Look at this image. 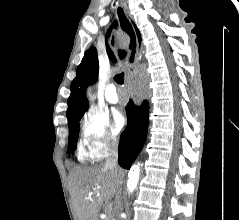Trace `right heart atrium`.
<instances>
[{
    "label": "right heart atrium",
    "instance_id": "d8ad5b80",
    "mask_svg": "<svg viewBox=\"0 0 239 220\" xmlns=\"http://www.w3.org/2000/svg\"><path fill=\"white\" fill-rule=\"evenodd\" d=\"M80 140L88 158L94 160L105 156L117 144L116 137L109 129L108 116L94 107L87 109L81 118Z\"/></svg>",
    "mask_w": 239,
    "mask_h": 220
}]
</instances>
